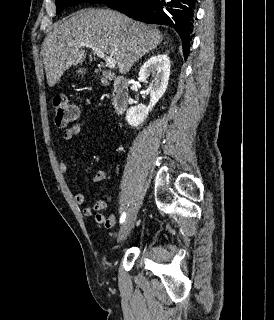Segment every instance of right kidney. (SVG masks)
I'll return each instance as SVG.
<instances>
[{
	"instance_id": "1",
	"label": "right kidney",
	"mask_w": 274,
	"mask_h": 320,
	"mask_svg": "<svg viewBox=\"0 0 274 320\" xmlns=\"http://www.w3.org/2000/svg\"><path fill=\"white\" fill-rule=\"evenodd\" d=\"M150 74L154 80L150 82L147 88V92L150 94L149 106H131L126 112L125 120L129 126H134V128L145 122L149 112L167 90L170 76V58L168 54L151 56L140 68L139 80L144 84H148L147 78Z\"/></svg>"
}]
</instances>
